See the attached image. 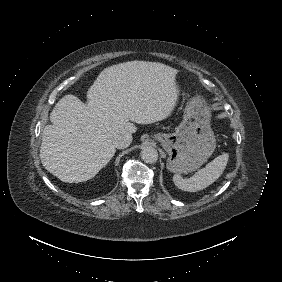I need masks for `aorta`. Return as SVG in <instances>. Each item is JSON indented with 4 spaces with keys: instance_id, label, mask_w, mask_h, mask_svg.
I'll return each instance as SVG.
<instances>
[{
    "instance_id": "762f6f07",
    "label": "aorta",
    "mask_w": 282,
    "mask_h": 282,
    "mask_svg": "<svg viewBox=\"0 0 282 282\" xmlns=\"http://www.w3.org/2000/svg\"><path fill=\"white\" fill-rule=\"evenodd\" d=\"M141 159L145 162V163H154L157 161L158 159V152L157 150L152 147V146H145L142 150H141Z\"/></svg>"
}]
</instances>
